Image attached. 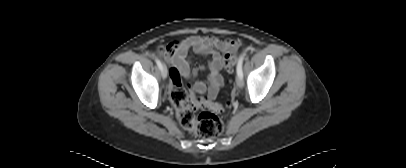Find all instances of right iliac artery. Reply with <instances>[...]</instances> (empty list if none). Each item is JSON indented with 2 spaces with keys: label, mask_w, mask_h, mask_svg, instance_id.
<instances>
[{
  "label": "right iliac artery",
  "mask_w": 406,
  "mask_h": 168,
  "mask_svg": "<svg viewBox=\"0 0 406 168\" xmlns=\"http://www.w3.org/2000/svg\"><path fill=\"white\" fill-rule=\"evenodd\" d=\"M155 61H156V64H157L158 68L160 70H162L163 65H162L161 61L158 58H155Z\"/></svg>",
  "instance_id": "82829eb1"
}]
</instances>
